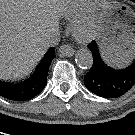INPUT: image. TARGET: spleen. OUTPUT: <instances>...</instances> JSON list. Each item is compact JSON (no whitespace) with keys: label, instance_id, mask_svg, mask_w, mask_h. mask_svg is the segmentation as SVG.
Segmentation results:
<instances>
[{"label":"spleen","instance_id":"1","mask_svg":"<svg viewBox=\"0 0 135 135\" xmlns=\"http://www.w3.org/2000/svg\"><path fill=\"white\" fill-rule=\"evenodd\" d=\"M133 53L131 52H117L113 58L109 61L110 64L116 67H123L128 64L130 59L132 58Z\"/></svg>","mask_w":135,"mask_h":135}]
</instances>
